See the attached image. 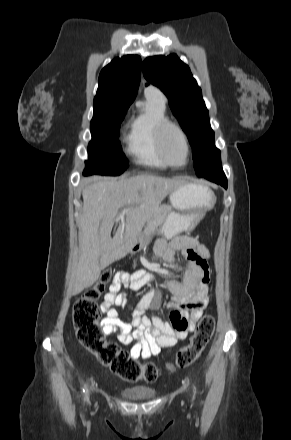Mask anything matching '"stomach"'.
<instances>
[{
  "instance_id": "1",
  "label": "stomach",
  "mask_w": 291,
  "mask_h": 440,
  "mask_svg": "<svg viewBox=\"0 0 291 440\" xmlns=\"http://www.w3.org/2000/svg\"><path fill=\"white\" fill-rule=\"evenodd\" d=\"M169 199L177 212L169 213L165 219L162 226L165 236L194 227L216 202V196L208 186L193 182H183L170 193Z\"/></svg>"
}]
</instances>
